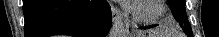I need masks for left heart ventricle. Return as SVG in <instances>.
<instances>
[{"mask_svg": "<svg viewBox=\"0 0 219 37\" xmlns=\"http://www.w3.org/2000/svg\"><path fill=\"white\" fill-rule=\"evenodd\" d=\"M135 8L142 14H148L155 9V4L152 0L138 1L135 5Z\"/></svg>", "mask_w": 219, "mask_h": 37, "instance_id": "obj_1", "label": "left heart ventricle"}]
</instances>
